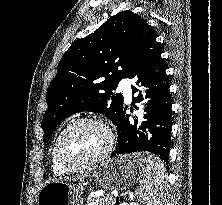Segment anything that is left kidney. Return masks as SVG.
Here are the masks:
<instances>
[{
	"instance_id": "obj_1",
	"label": "left kidney",
	"mask_w": 222,
	"mask_h": 205,
	"mask_svg": "<svg viewBox=\"0 0 222 205\" xmlns=\"http://www.w3.org/2000/svg\"><path fill=\"white\" fill-rule=\"evenodd\" d=\"M119 205H139V204L138 203H130V204H128V203H121Z\"/></svg>"
}]
</instances>
